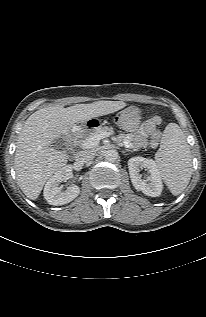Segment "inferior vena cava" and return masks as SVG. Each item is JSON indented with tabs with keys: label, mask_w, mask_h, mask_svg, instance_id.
Listing matches in <instances>:
<instances>
[{
	"label": "inferior vena cava",
	"mask_w": 206,
	"mask_h": 317,
	"mask_svg": "<svg viewBox=\"0 0 206 317\" xmlns=\"http://www.w3.org/2000/svg\"><path fill=\"white\" fill-rule=\"evenodd\" d=\"M95 156V153L91 150H83L78 152L76 155V161L78 163H87L92 160Z\"/></svg>",
	"instance_id": "602c4592"
}]
</instances>
